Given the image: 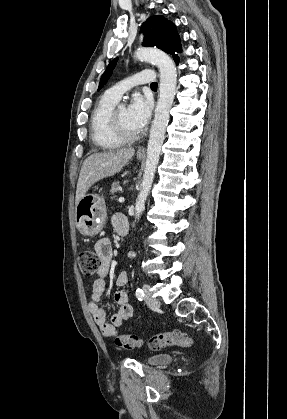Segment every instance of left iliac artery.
<instances>
[{
  "label": "left iliac artery",
  "mask_w": 287,
  "mask_h": 419,
  "mask_svg": "<svg viewBox=\"0 0 287 419\" xmlns=\"http://www.w3.org/2000/svg\"><path fill=\"white\" fill-rule=\"evenodd\" d=\"M135 295L139 301H142L144 298V291L141 288H137Z\"/></svg>",
  "instance_id": "44dca946"
}]
</instances>
